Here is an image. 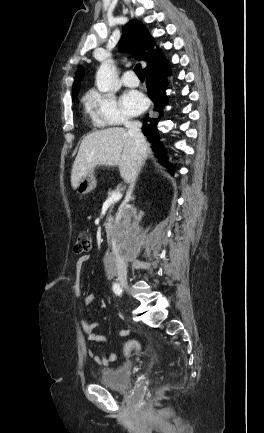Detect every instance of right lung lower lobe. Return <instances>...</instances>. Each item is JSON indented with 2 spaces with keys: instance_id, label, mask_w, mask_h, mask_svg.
Returning <instances> with one entry per match:
<instances>
[{
  "instance_id": "98d812e1",
  "label": "right lung lower lobe",
  "mask_w": 264,
  "mask_h": 433,
  "mask_svg": "<svg viewBox=\"0 0 264 433\" xmlns=\"http://www.w3.org/2000/svg\"><path fill=\"white\" fill-rule=\"evenodd\" d=\"M170 74V66L167 60L159 63L156 66L149 67L145 70L147 79L146 85L148 88V96L155 102L154 110L159 113L158 117L150 118L148 114L144 118L142 130L152 143V148L156 156L162 159V163L168 167H173L168 163L165 157L164 148L159 141L157 124L162 116L163 108L167 104V96L165 90L167 89L166 76Z\"/></svg>"
}]
</instances>
